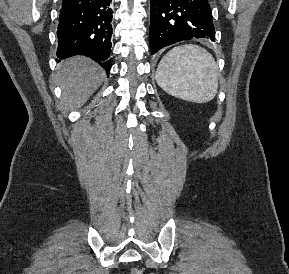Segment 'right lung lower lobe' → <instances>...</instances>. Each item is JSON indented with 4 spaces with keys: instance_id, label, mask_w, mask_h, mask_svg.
I'll list each match as a JSON object with an SVG mask.
<instances>
[{
    "instance_id": "right-lung-lower-lobe-1",
    "label": "right lung lower lobe",
    "mask_w": 289,
    "mask_h": 274,
    "mask_svg": "<svg viewBox=\"0 0 289 274\" xmlns=\"http://www.w3.org/2000/svg\"><path fill=\"white\" fill-rule=\"evenodd\" d=\"M112 0H63L58 23L60 59L84 55L109 74L111 62Z\"/></svg>"
}]
</instances>
